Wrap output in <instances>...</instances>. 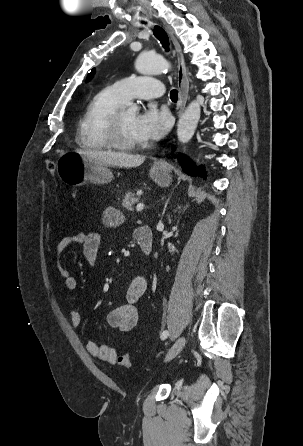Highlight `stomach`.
Masks as SVG:
<instances>
[{
	"mask_svg": "<svg viewBox=\"0 0 303 446\" xmlns=\"http://www.w3.org/2000/svg\"><path fill=\"white\" fill-rule=\"evenodd\" d=\"M56 169L60 180L74 187L88 181L106 184L113 178L108 165L92 161L76 152L62 153L56 162ZM150 177L161 187H167L172 182L171 175L164 167H152Z\"/></svg>",
	"mask_w": 303,
	"mask_h": 446,
	"instance_id": "stomach-1",
	"label": "stomach"
}]
</instances>
